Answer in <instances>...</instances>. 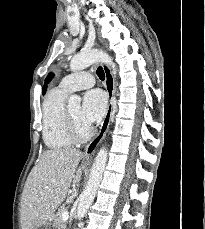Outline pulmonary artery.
Instances as JSON below:
<instances>
[{
  "mask_svg": "<svg viewBox=\"0 0 205 229\" xmlns=\"http://www.w3.org/2000/svg\"><path fill=\"white\" fill-rule=\"evenodd\" d=\"M94 82V77L91 73L81 71L65 76L61 80L59 88L67 93H72L74 91L92 87Z\"/></svg>",
  "mask_w": 205,
  "mask_h": 229,
  "instance_id": "pulmonary-artery-1",
  "label": "pulmonary artery"
}]
</instances>
